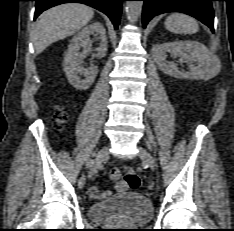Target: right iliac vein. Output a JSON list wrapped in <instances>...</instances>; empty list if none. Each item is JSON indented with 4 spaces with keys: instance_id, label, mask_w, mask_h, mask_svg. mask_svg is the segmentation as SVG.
Returning a JSON list of instances; mask_svg holds the SVG:
<instances>
[{
    "instance_id": "1",
    "label": "right iliac vein",
    "mask_w": 234,
    "mask_h": 231,
    "mask_svg": "<svg viewBox=\"0 0 234 231\" xmlns=\"http://www.w3.org/2000/svg\"><path fill=\"white\" fill-rule=\"evenodd\" d=\"M109 148L107 146L103 147L96 155L95 159H88L86 161V168L99 167V165L108 157ZM86 182L85 176H81L78 181L79 188H83Z\"/></svg>"
}]
</instances>
